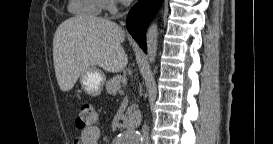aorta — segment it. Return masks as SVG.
Returning a JSON list of instances; mask_svg holds the SVG:
<instances>
[{
    "label": "aorta",
    "mask_w": 273,
    "mask_h": 144,
    "mask_svg": "<svg viewBox=\"0 0 273 144\" xmlns=\"http://www.w3.org/2000/svg\"><path fill=\"white\" fill-rule=\"evenodd\" d=\"M157 36L158 26L152 22L146 33L147 56L151 64L155 62L157 54ZM141 141L142 137L138 132H127L118 137V144H139Z\"/></svg>",
    "instance_id": "762f6f07"
}]
</instances>
